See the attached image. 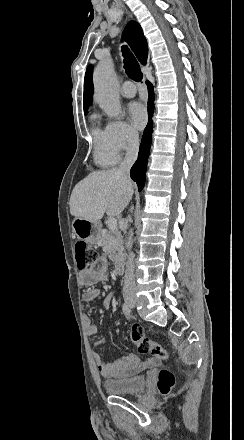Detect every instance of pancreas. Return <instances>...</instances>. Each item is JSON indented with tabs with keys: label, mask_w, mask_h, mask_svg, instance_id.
Returning a JSON list of instances; mask_svg holds the SVG:
<instances>
[{
	"label": "pancreas",
	"mask_w": 244,
	"mask_h": 440,
	"mask_svg": "<svg viewBox=\"0 0 244 440\" xmlns=\"http://www.w3.org/2000/svg\"><path fill=\"white\" fill-rule=\"evenodd\" d=\"M98 242L103 244V252L109 254L112 262H118L123 256V236L119 230H101Z\"/></svg>",
	"instance_id": "pancreas-1"
}]
</instances>
